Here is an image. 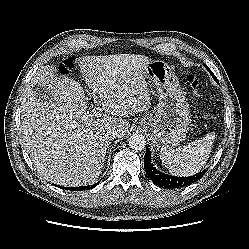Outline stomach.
Returning <instances> with one entry per match:
<instances>
[{
    "label": "stomach",
    "instance_id": "obj_1",
    "mask_svg": "<svg viewBox=\"0 0 249 249\" xmlns=\"http://www.w3.org/2000/svg\"><path fill=\"white\" fill-rule=\"evenodd\" d=\"M145 68L147 78L159 95V102L153 113L140 120V125L150 131V138L158 147L180 143L189 129L191 116L173 68L162 60H150Z\"/></svg>",
    "mask_w": 249,
    "mask_h": 249
}]
</instances>
